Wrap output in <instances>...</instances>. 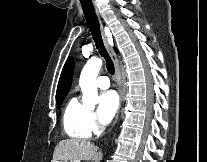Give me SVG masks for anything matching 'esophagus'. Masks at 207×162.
Segmentation results:
<instances>
[{
	"label": "esophagus",
	"mask_w": 207,
	"mask_h": 162,
	"mask_svg": "<svg viewBox=\"0 0 207 162\" xmlns=\"http://www.w3.org/2000/svg\"><path fill=\"white\" fill-rule=\"evenodd\" d=\"M92 1H93V6H94L95 13H96L97 18L99 20V25H100V29H101V33H102V37H103V41H104L105 47H106L109 55L111 56V58H112V60L114 62L115 77H116V81L118 83L119 92H120V104H119V109H118L117 114H116L115 121L113 123V127H114L115 124L117 123L118 119H119L120 111H121V108L123 106V100H124V93H123V89H122V85H121V72H120V67H119V63H118V60H117V56H116V54L114 53V51L112 49L113 38L111 36L107 37L105 35L103 23H102V20H101V17H100V12L98 10V7L95 4V1L94 0H92Z\"/></svg>",
	"instance_id": "esophagus-1"
}]
</instances>
